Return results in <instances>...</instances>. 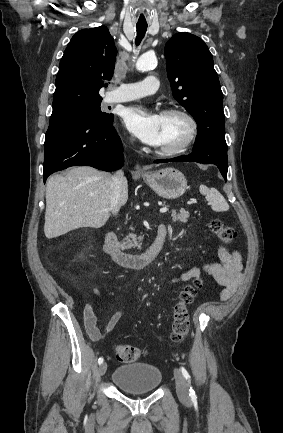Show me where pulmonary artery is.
<instances>
[{
    "instance_id": "e3ab8cb5",
    "label": "pulmonary artery",
    "mask_w": 283,
    "mask_h": 433,
    "mask_svg": "<svg viewBox=\"0 0 283 433\" xmlns=\"http://www.w3.org/2000/svg\"><path fill=\"white\" fill-rule=\"evenodd\" d=\"M155 79V74H150L142 81L123 83L122 88H118L117 94L107 96V102L110 104L126 102L151 95L157 91Z\"/></svg>"
}]
</instances>
